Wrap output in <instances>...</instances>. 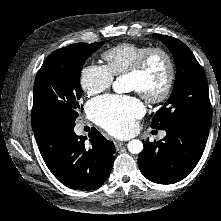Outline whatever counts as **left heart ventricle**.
Returning <instances> with one entry per match:
<instances>
[{"mask_svg":"<svg viewBox=\"0 0 221 221\" xmlns=\"http://www.w3.org/2000/svg\"><path fill=\"white\" fill-rule=\"evenodd\" d=\"M166 74V65L161 57H154L146 70L138 76H126L129 90L155 94L160 91Z\"/></svg>","mask_w":221,"mask_h":221,"instance_id":"b2bd125f","label":"left heart ventricle"}]
</instances>
